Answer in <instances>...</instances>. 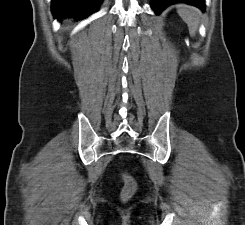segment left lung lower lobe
I'll use <instances>...</instances> for the list:
<instances>
[{"instance_id":"left-lung-lower-lobe-1","label":"left lung lower lobe","mask_w":245,"mask_h":225,"mask_svg":"<svg viewBox=\"0 0 245 225\" xmlns=\"http://www.w3.org/2000/svg\"><path fill=\"white\" fill-rule=\"evenodd\" d=\"M174 3H187L194 5L202 10L205 9L204 0H151V7L156 14H159L165 7Z\"/></svg>"}]
</instances>
